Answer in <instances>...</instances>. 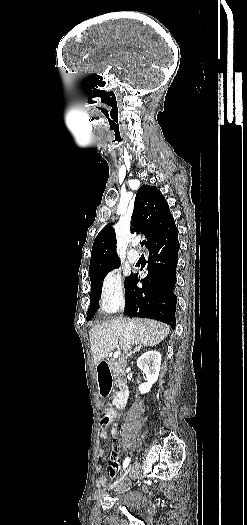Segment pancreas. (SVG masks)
Listing matches in <instances>:
<instances>
[{"mask_svg":"<svg viewBox=\"0 0 247 525\" xmlns=\"http://www.w3.org/2000/svg\"><path fill=\"white\" fill-rule=\"evenodd\" d=\"M107 363L112 371V375H114L116 385H120L124 377V369H122L121 365H119L117 359L113 360L111 357H109Z\"/></svg>","mask_w":247,"mask_h":525,"instance_id":"1","label":"pancreas"}]
</instances>
